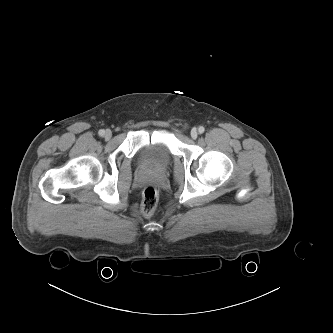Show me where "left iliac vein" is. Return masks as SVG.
<instances>
[{"instance_id": "1", "label": "left iliac vein", "mask_w": 333, "mask_h": 333, "mask_svg": "<svg viewBox=\"0 0 333 333\" xmlns=\"http://www.w3.org/2000/svg\"><path fill=\"white\" fill-rule=\"evenodd\" d=\"M197 136H198V132H197V130H196L195 128L192 129V130H191V137H192L193 139H196Z\"/></svg>"}]
</instances>
